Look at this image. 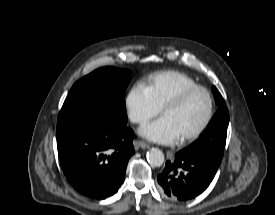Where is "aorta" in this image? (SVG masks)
<instances>
[{
    "label": "aorta",
    "mask_w": 275,
    "mask_h": 215,
    "mask_svg": "<svg viewBox=\"0 0 275 215\" xmlns=\"http://www.w3.org/2000/svg\"><path fill=\"white\" fill-rule=\"evenodd\" d=\"M148 162L155 167H160L164 163V154L158 148H152L147 153Z\"/></svg>",
    "instance_id": "1"
}]
</instances>
